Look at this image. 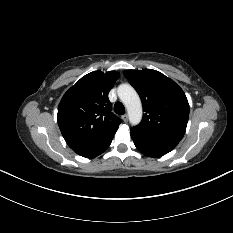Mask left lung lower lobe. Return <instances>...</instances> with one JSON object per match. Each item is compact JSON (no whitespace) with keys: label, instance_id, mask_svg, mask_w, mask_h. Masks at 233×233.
Here are the masks:
<instances>
[{"label":"left lung lower lobe","instance_id":"left-lung-lower-lobe-1","mask_svg":"<svg viewBox=\"0 0 233 233\" xmlns=\"http://www.w3.org/2000/svg\"><path fill=\"white\" fill-rule=\"evenodd\" d=\"M131 137L137 149L149 157H160L173 150L178 140L142 133L131 128Z\"/></svg>","mask_w":233,"mask_h":233}]
</instances>
